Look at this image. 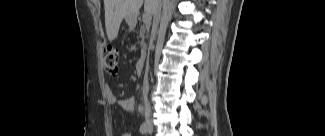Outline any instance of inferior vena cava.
Returning <instances> with one entry per match:
<instances>
[{"label": "inferior vena cava", "mask_w": 325, "mask_h": 136, "mask_svg": "<svg viewBox=\"0 0 325 136\" xmlns=\"http://www.w3.org/2000/svg\"><path fill=\"white\" fill-rule=\"evenodd\" d=\"M152 6H153V13H154V20H153V27L156 29L158 27L160 18H161V0H152ZM148 81L145 82V89L148 91Z\"/></svg>", "instance_id": "1"}]
</instances>
